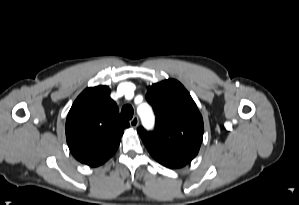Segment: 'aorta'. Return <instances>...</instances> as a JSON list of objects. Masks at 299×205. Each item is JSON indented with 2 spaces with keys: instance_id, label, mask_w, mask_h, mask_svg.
I'll return each mask as SVG.
<instances>
[{
  "instance_id": "obj_1",
  "label": "aorta",
  "mask_w": 299,
  "mask_h": 205,
  "mask_svg": "<svg viewBox=\"0 0 299 205\" xmlns=\"http://www.w3.org/2000/svg\"><path fill=\"white\" fill-rule=\"evenodd\" d=\"M142 121L145 125L151 126L153 124V115L150 108L144 105V112L141 114Z\"/></svg>"
}]
</instances>
